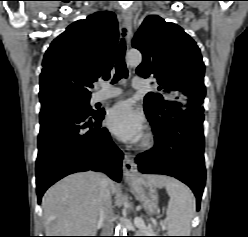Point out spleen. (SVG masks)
<instances>
[{
    "instance_id": "spleen-1",
    "label": "spleen",
    "mask_w": 248,
    "mask_h": 237,
    "mask_svg": "<svg viewBox=\"0 0 248 237\" xmlns=\"http://www.w3.org/2000/svg\"><path fill=\"white\" fill-rule=\"evenodd\" d=\"M170 197L167 207L169 236H189L195 212V199L190 189L181 182L169 178L165 182Z\"/></svg>"
}]
</instances>
